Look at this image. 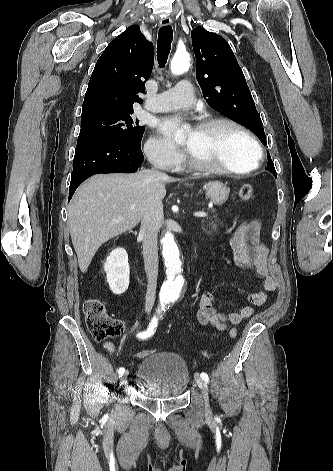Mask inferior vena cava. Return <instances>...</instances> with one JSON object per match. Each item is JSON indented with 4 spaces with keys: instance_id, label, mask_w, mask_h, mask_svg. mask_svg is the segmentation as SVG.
Returning <instances> with one entry per match:
<instances>
[{
    "instance_id": "obj_1",
    "label": "inferior vena cava",
    "mask_w": 333,
    "mask_h": 471,
    "mask_svg": "<svg viewBox=\"0 0 333 471\" xmlns=\"http://www.w3.org/2000/svg\"><path fill=\"white\" fill-rule=\"evenodd\" d=\"M163 220L162 202L148 203L143 210L140 232L143 235V257L147 275L145 311L150 312L154 305L158 277V232Z\"/></svg>"
}]
</instances>
